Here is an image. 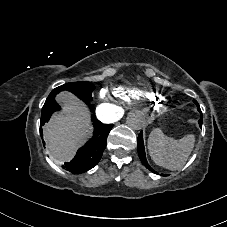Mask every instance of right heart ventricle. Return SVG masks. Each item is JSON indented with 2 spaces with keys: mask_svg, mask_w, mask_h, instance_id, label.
<instances>
[{
  "mask_svg": "<svg viewBox=\"0 0 227 227\" xmlns=\"http://www.w3.org/2000/svg\"><path fill=\"white\" fill-rule=\"evenodd\" d=\"M113 94L128 105H150L153 108L159 107L162 97L158 94L144 92L135 88L117 87Z\"/></svg>",
  "mask_w": 227,
  "mask_h": 227,
  "instance_id": "e07e8e85",
  "label": "right heart ventricle"
}]
</instances>
